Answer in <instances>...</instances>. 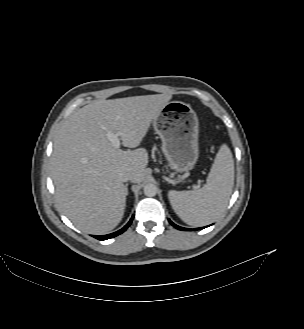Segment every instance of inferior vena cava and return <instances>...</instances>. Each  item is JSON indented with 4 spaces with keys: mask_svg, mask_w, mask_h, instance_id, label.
<instances>
[{
    "mask_svg": "<svg viewBox=\"0 0 304 329\" xmlns=\"http://www.w3.org/2000/svg\"><path fill=\"white\" fill-rule=\"evenodd\" d=\"M119 177L122 182H127L132 179V174L128 171H123L119 174Z\"/></svg>",
    "mask_w": 304,
    "mask_h": 329,
    "instance_id": "602c4592",
    "label": "inferior vena cava"
}]
</instances>
